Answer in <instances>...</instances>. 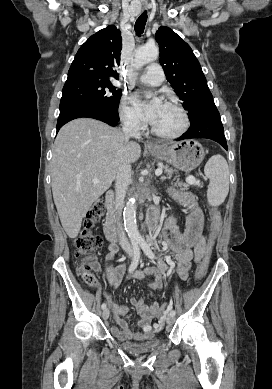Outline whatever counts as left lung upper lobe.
I'll return each mask as SVG.
<instances>
[{"mask_svg": "<svg viewBox=\"0 0 272 389\" xmlns=\"http://www.w3.org/2000/svg\"><path fill=\"white\" fill-rule=\"evenodd\" d=\"M156 40L167 81L183 101L182 105L189 111L191 120L214 105L200 63L190 46L170 28L161 26L156 32Z\"/></svg>", "mask_w": 272, "mask_h": 389, "instance_id": "left-lung-upper-lobe-1", "label": "left lung upper lobe"}]
</instances>
